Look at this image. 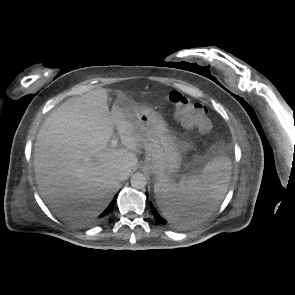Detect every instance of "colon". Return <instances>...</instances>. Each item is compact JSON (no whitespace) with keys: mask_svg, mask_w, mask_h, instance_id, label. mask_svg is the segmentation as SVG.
Returning a JSON list of instances; mask_svg holds the SVG:
<instances>
[{"mask_svg":"<svg viewBox=\"0 0 295 295\" xmlns=\"http://www.w3.org/2000/svg\"><path fill=\"white\" fill-rule=\"evenodd\" d=\"M169 101L174 107L176 117L183 125L196 128L200 132L210 130L211 122L204 106L191 101L178 91L169 94Z\"/></svg>","mask_w":295,"mask_h":295,"instance_id":"5ec220e1","label":"colon"}]
</instances>
